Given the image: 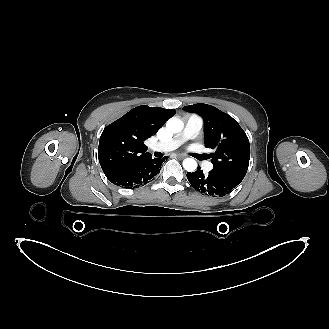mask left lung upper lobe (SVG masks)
<instances>
[{
  "label": "left lung upper lobe",
  "instance_id": "obj_1",
  "mask_svg": "<svg viewBox=\"0 0 329 329\" xmlns=\"http://www.w3.org/2000/svg\"><path fill=\"white\" fill-rule=\"evenodd\" d=\"M183 109L200 115L204 120V144L216 150L211 154L212 171L241 183L249 165L250 145L237 121L208 104H194Z\"/></svg>",
  "mask_w": 329,
  "mask_h": 329
}]
</instances>
